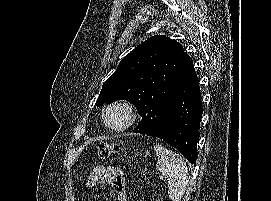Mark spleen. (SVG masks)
<instances>
[{"mask_svg": "<svg viewBox=\"0 0 271 201\" xmlns=\"http://www.w3.org/2000/svg\"><path fill=\"white\" fill-rule=\"evenodd\" d=\"M158 156L156 168L168 179V197L171 201H180L188 184V170L183 158L162 145L154 146Z\"/></svg>", "mask_w": 271, "mask_h": 201, "instance_id": "3e777b00", "label": "spleen"}]
</instances>
